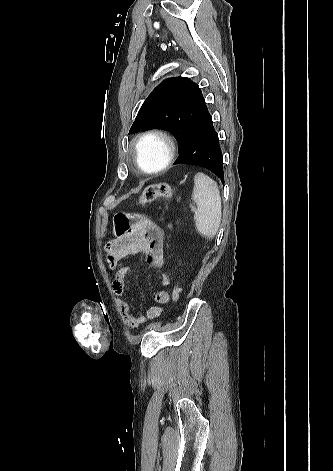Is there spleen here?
Instances as JSON below:
<instances>
[{
    "label": "spleen",
    "instance_id": "3e777b00",
    "mask_svg": "<svg viewBox=\"0 0 333 471\" xmlns=\"http://www.w3.org/2000/svg\"><path fill=\"white\" fill-rule=\"evenodd\" d=\"M192 198L198 207L195 215L197 231L206 238H214L222 217L220 191L217 183L204 173H197L194 176Z\"/></svg>",
    "mask_w": 333,
    "mask_h": 471
}]
</instances>
